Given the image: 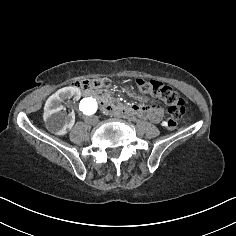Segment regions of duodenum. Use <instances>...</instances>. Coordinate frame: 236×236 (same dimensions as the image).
Segmentation results:
<instances>
[{"label": "duodenum", "mask_w": 236, "mask_h": 236, "mask_svg": "<svg viewBox=\"0 0 236 236\" xmlns=\"http://www.w3.org/2000/svg\"><path fill=\"white\" fill-rule=\"evenodd\" d=\"M83 95L87 97H96L97 93L93 89H86L83 90ZM100 104L103 112L109 115H115L120 117H129L136 115V109L134 106L114 104L107 100H101Z\"/></svg>", "instance_id": "duodenum-1"}]
</instances>
